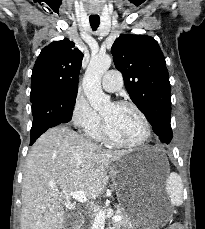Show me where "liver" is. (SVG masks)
I'll list each match as a JSON object with an SVG mask.
<instances>
[{"instance_id":"obj_1","label":"liver","mask_w":205,"mask_h":229,"mask_svg":"<svg viewBox=\"0 0 205 229\" xmlns=\"http://www.w3.org/2000/svg\"><path fill=\"white\" fill-rule=\"evenodd\" d=\"M127 151L106 150L69 127L47 130L30 149L23 172L21 229H62L66 199L83 190L97 198L108 183L107 169Z\"/></svg>"}]
</instances>
